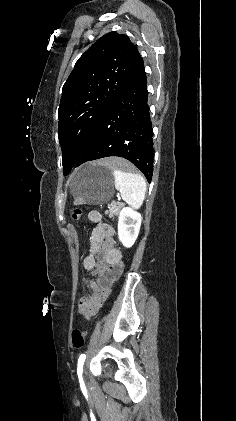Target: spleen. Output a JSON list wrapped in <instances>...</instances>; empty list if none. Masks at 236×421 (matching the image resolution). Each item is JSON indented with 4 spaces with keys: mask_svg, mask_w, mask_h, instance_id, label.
<instances>
[{
    "mask_svg": "<svg viewBox=\"0 0 236 421\" xmlns=\"http://www.w3.org/2000/svg\"><path fill=\"white\" fill-rule=\"evenodd\" d=\"M114 164L115 162H110L107 166L114 170L116 190H119L123 200L132 208H139L145 198L147 188L144 176L135 172H123Z\"/></svg>",
    "mask_w": 236,
    "mask_h": 421,
    "instance_id": "3e777b00",
    "label": "spleen"
}]
</instances>
